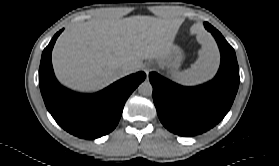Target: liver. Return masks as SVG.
I'll return each instance as SVG.
<instances>
[{
	"instance_id": "6515ba94",
	"label": "liver",
	"mask_w": 279,
	"mask_h": 166,
	"mask_svg": "<svg viewBox=\"0 0 279 166\" xmlns=\"http://www.w3.org/2000/svg\"><path fill=\"white\" fill-rule=\"evenodd\" d=\"M183 20L115 16L97 18L64 32L52 52L57 78L77 91H95L122 77V66L134 71L143 60L159 59L172 46Z\"/></svg>"
}]
</instances>
